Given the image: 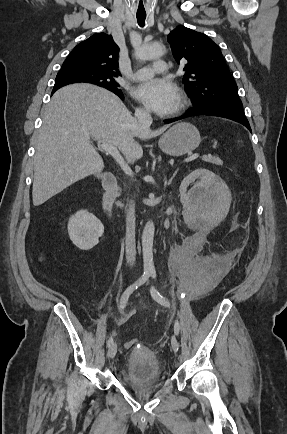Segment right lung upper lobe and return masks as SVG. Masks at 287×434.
<instances>
[{
    "mask_svg": "<svg viewBox=\"0 0 287 434\" xmlns=\"http://www.w3.org/2000/svg\"><path fill=\"white\" fill-rule=\"evenodd\" d=\"M119 47L111 35L97 33L78 44L61 69L78 68L117 76ZM64 85H54L52 93Z\"/></svg>",
    "mask_w": 287,
    "mask_h": 434,
    "instance_id": "cb5924a9",
    "label": "right lung upper lobe"
}]
</instances>
